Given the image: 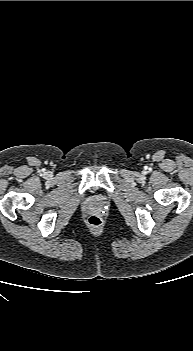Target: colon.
Listing matches in <instances>:
<instances>
[{
  "mask_svg": "<svg viewBox=\"0 0 193 351\" xmlns=\"http://www.w3.org/2000/svg\"><path fill=\"white\" fill-rule=\"evenodd\" d=\"M88 224L91 226V227H94V228H98L101 226L102 224V221L101 219L98 217V216H91L89 217L88 219Z\"/></svg>",
  "mask_w": 193,
  "mask_h": 351,
  "instance_id": "5ec220e1",
  "label": "colon"
}]
</instances>
